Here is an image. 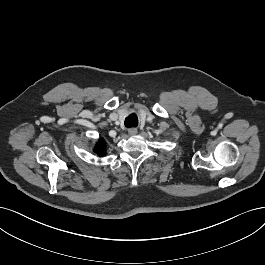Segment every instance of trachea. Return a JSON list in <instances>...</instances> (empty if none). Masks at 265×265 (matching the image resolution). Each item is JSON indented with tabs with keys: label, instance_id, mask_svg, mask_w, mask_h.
<instances>
[{
	"label": "trachea",
	"instance_id": "3493384b",
	"mask_svg": "<svg viewBox=\"0 0 265 265\" xmlns=\"http://www.w3.org/2000/svg\"><path fill=\"white\" fill-rule=\"evenodd\" d=\"M138 125V117L135 113L130 114L125 119V126L127 128L136 127Z\"/></svg>",
	"mask_w": 265,
	"mask_h": 265
}]
</instances>
